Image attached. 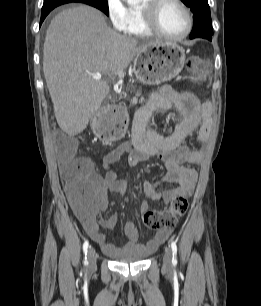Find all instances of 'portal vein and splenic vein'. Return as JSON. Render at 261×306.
Here are the masks:
<instances>
[{"mask_svg": "<svg viewBox=\"0 0 261 306\" xmlns=\"http://www.w3.org/2000/svg\"><path fill=\"white\" fill-rule=\"evenodd\" d=\"M117 75H118V77H123L124 73L123 72H118ZM93 77L96 78V79H100L101 78L100 75H93Z\"/></svg>", "mask_w": 261, "mask_h": 306, "instance_id": "1", "label": "portal vein and splenic vein"}]
</instances>
